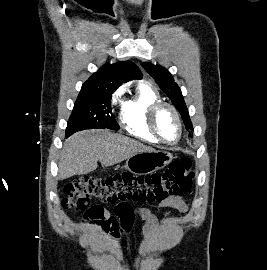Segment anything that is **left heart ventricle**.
Listing matches in <instances>:
<instances>
[{
    "label": "left heart ventricle",
    "instance_id": "obj_1",
    "mask_svg": "<svg viewBox=\"0 0 267 270\" xmlns=\"http://www.w3.org/2000/svg\"><path fill=\"white\" fill-rule=\"evenodd\" d=\"M157 127L161 136L169 141L174 142L179 134L177 120L168 108H163L157 116Z\"/></svg>",
    "mask_w": 267,
    "mask_h": 270
}]
</instances>
